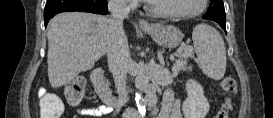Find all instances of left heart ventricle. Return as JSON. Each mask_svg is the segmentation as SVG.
<instances>
[{"instance_id": "left-heart-ventricle-1", "label": "left heart ventricle", "mask_w": 273, "mask_h": 118, "mask_svg": "<svg viewBox=\"0 0 273 118\" xmlns=\"http://www.w3.org/2000/svg\"><path fill=\"white\" fill-rule=\"evenodd\" d=\"M200 0H154V8L163 12L187 13L199 8Z\"/></svg>"}]
</instances>
